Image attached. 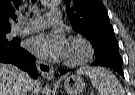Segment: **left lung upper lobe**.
Instances as JSON below:
<instances>
[{
	"label": "left lung upper lobe",
	"mask_w": 135,
	"mask_h": 95,
	"mask_svg": "<svg viewBox=\"0 0 135 95\" xmlns=\"http://www.w3.org/2000/svg\"><path fill=\"white\" fill-rule=\"evenodd\" d=\"M67 15L75 31L92 44L96 56L118 54L119 46L102 0H65Z\"/></svg>",
	"instance_id": "5c2ea615"
}]
</instances>
